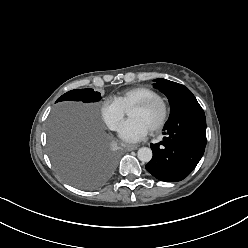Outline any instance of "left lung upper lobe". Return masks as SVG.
Segmentation results:
<instances>
[{
    "instance_id": "5c2ea615",
    "label": "left lung upper lobe",
    "mask_w": 248,
    "mask_h": 248,
    "mask_svg": "<svg viewBox=\"0 0 248 248\" xmlns=\"http://www.w3.org/2000/svg\"><path fill=\"white\" fill-rule=\"evenodd\" d=\"M154 87L164 93L169 100L171 107L169 118H171L187 101L195 98L192 92L184 85L166 79H156Z\"/></svg>"
}]
</instances>
